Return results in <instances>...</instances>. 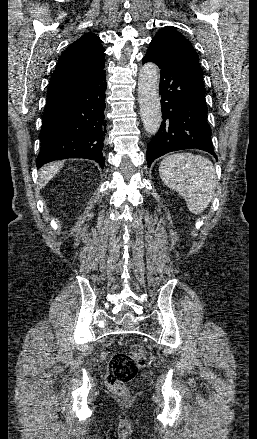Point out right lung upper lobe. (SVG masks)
Wrapping results in <instances>:
<instances>
[{
    "label": "right lung upper lobe",
    "mask_w": 257,
    "mask_h": 439,
    "mask_svg": "<svg viewBox=\"0 0 257 439\" xmlns=\"http://www.w3.org/2000/svg\"><path fill=\"white\" fill-rule=\"evenodd\" d=\"M104 57L100 38L95 34H84L60 56L47 93L99 74L105 66Z\"/></svg>",
    "instance_id": "cb5924a9"
}]
</instances>
